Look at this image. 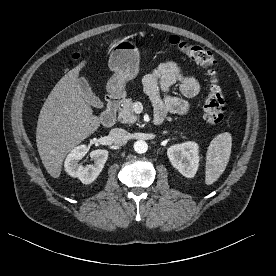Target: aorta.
<instances>
[{
  "instance_id": "aorta-1",
  "label": "aorta",
  "mask_w": 276,
  "mask_h": 276,
  "mask_svg": "<svg viewBox=\"0 0 276 276\" xmlns=\"http://www.w3.org/2000/svg\"><path fill=\"white\" fill-rule=\"evenodd\" d=\"M134 150L139 154H143L148 150V144L143 140H138L134 143Z\"/></svg>"
}]
</instances>
